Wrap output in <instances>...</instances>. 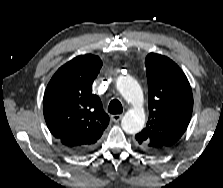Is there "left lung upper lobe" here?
<instances>
[{"instance_id": "left-lung-upper-lobe-1", "label": "left lung upper lobe", "mask_w": 223, "mask_h": 188, "mask_svg": "<svg viewBox=\"0 0 223 188\" xmlns=\"http://www.w3.org/2000/svg\"><path fill=\"white\" fill-rule=\"evenodd\" d=\"M145 65L149 118L135 138L144 150L161 153L170 149L186 131L193 110V95L187 77L168 57L150 53Z\"/></svg>"}]
</instances>
